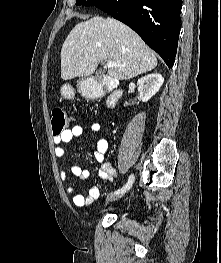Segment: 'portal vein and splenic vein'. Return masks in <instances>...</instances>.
Returning <instances> with one entry per match:
<instances>
[{
  "mask_svg": "<svg viewBox=\"0 0 221 263\" xmlns=\"http://www.w3.org/2000/svg\"><path fill=\"white\" fill-rule=\"evenodd\" d=\"M107 67H114L116 64L113 61H105Z\"/></svg>",
  "mask_w": 221,
  "mask_h": 263,
  "instance_id": "1",
  "label": "portal vein and splenic vein"
}]
</instances>
